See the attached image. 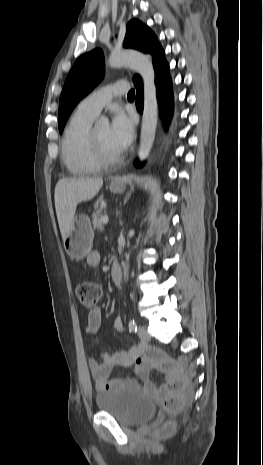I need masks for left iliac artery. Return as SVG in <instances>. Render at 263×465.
Returning <instances> with one entry per match:
<instances>
[{
	"label": "left iliac artery",
	"mask_w": 263,
	"mask_h": 465,
	"mask_svg": "<svg viewBox=\"0 0 263 465\" xmlns=\"http://www.w3.org/2000/svg\"><path fill=\"white\" fill-rule=\"evenodd\" d=\"M129 331L130 332H137V324L134 319L129 321Z\"/></svg>",
	"instance_id": "left-iliac-artery-1"
}]
</instances>
